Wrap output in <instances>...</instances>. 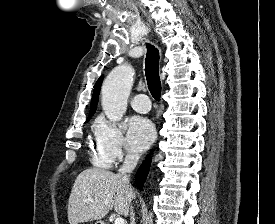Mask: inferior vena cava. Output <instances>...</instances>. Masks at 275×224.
Segmentation results:
<instances>
[{"label": "inferior vena cava", "instance_id": "inferior-vena-cava-1", "mask_svg": "<svg viewBox=\"0 0 275 224\" xmlns=\"http://www.w3.org/2000/svg\"><path fill=\"white\" fill-rule=\"evenodd\" d=\"M140 158V155L134 151L129 150L125 160L123 162V165L119 169V175L121 176V179L124 183L129 184V176L127 173H132V171L135 169L138 160ZM130 219H131V224H134V213L133 210L131 209L130 212Z\"/></svg>", "mask_w": 275, "mask_h": 224}]
</instances>
